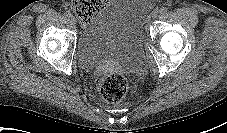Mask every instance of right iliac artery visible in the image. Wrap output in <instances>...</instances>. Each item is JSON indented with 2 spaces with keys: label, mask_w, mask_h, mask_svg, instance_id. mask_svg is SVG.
<instances>
[{
  "label": "right iliac artery",
  "mask_w": 227,
  "mask_h": 133,
  "mask_svg": "<svg viewBox=\"0 0 227 133\" xmlns=\"http://www.w3.org/2000/svg\"><path fill=\"white\" fill-rule=\"evenodd\" d=\"M64 15H65L66 17H70V16H71V12H70V11H66V12H64Z\"/></svg>",
  "instance_id": "1"
}]
</instances>
